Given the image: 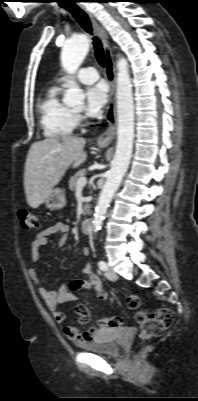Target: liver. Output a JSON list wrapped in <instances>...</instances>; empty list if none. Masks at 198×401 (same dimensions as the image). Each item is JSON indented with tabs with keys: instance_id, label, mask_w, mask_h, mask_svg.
Wrapping results in <instances>:
<instances>
[{
	"instance_id": "obj_1",
	"label": "liver",
	"mask_w": 198,
	"mask_h": 401,
	"mask_svg": "<svg viewBox=\"0 0 198 401\" xmlns=\"http://www.w3.org/2000/svg\"><path fill=\"white\" fill-rule=\"evenodd\" d=\"M84 138L51 136L31 145L25 164L24 189L32 208L42 204L67 169L77 168L87 158Z\"/></svg>"
}]
</instances>
